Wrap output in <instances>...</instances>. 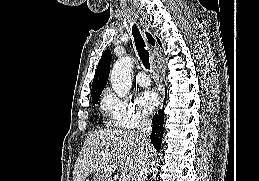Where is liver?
I'll return each instance as SVG.
<instances>
[{
	"label": "liver",
	"mask_w": 259,
	"mask_h": 181,
	"mask_svg": "<svg viewBox=\"0 0 259 181\" xmlns=\"http://www.w3.org/2000/svg\"><path fill=\"white\" fill-rule=\"evenodd\" d=\"M143 146L137 132L131 130L102 129L89 134L76 160L73 181H84L91 173L109 177L114 171L128 174L136 181L144 162ZM155 151L151 146L148 162Z\"/></svg>",
	"instance_id": "1"
}]
</instances>
